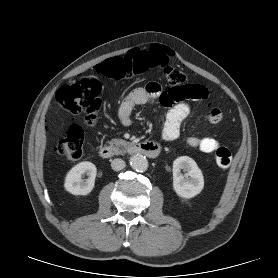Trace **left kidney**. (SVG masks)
<instances>
[{
	"label": "left kidney",
	"instance_id": "5707ae66",
	"mask_svg": "<svg viewBox=\"0 0 278 278\" xmlns=\"http://www.w3.org/2000/svg\"><path fill=\"white\" fill-rule=\"evenodd\" d=\"M181 170L185 176L181 174ZM204 187L203 174L197 163L188 156H181L173 162V189L179 197L190 199Z\"/></svg>",
	"mask_w": 278,
	"mask_h": 278
}]
</instances>
